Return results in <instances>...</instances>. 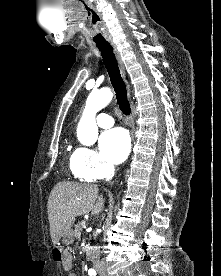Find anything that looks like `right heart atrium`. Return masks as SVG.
<instances>
[{"instance_id":"right-heart-atrium-1","label":"right heart atrium","mask_w":221,"mask_h":276,"mask_svg":"<svg viewBox=\"0 0 221 276\" xmlns=\"http://www.w3.org/2000/svg\"><path fill=\"white\" fill-rule=\"evenodd\" d=\"M75 164L82 179L93 181L108 176L112 167L95 150L81 147L75 152Z\"/></svg>"}]
</instances>
